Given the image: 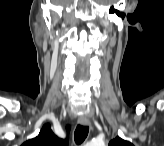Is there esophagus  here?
Listing matches in <instances>:
<instances>
[{
  "label": "esophagus",
  "instance_id": "obj_1",
  "mask_svg": "<svg viewBox=\"0 0 164 146\" xmlns=\"http://www.w3.org/2000/svg\"><path fill=\"white\" fill-rule=\"evenodd\" d=\"M78 123H79L80 125L89 126L90 128H92L91 122H90V120L87 119V118H79V119H78Z\"/></svg>",
  "mask_w": 164,
  "mask_h": 146
}]
</instances>
